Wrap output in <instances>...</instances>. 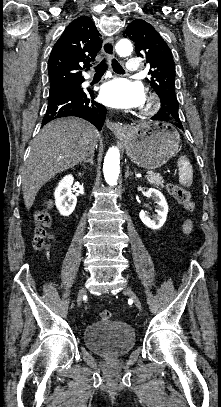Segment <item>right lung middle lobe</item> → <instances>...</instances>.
I'll return each mask as SVG.
<instances>
[{"instance_id":"obj_1","label":"right lung middle lobe","mask_w":221,"mask_h":407,"mask_svg":"<svg viewBox=\"0 0 221 407\" xmlns=\"http://www.w3.org/2000/svg\"><path fill=\"white\" fill-rule=\"evenodd\" d=\"M66 86H68V85H66ZM61 87H64V86L61 85V84H56V85L51 84L50 91L56 90V89L61 88Z\"/></svg>"}]
</instances>
